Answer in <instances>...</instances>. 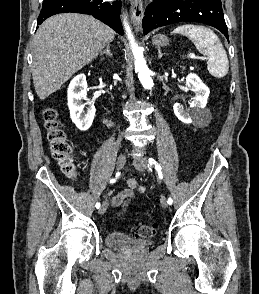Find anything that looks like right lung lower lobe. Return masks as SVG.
Returning a JSON list of instances; mask_svg holds the SVG:
<instances>
[{
    "label": "right lung lower lobe",
    "mask_w": 259,
    "mask_h": 294,
    "mask_svg": "<svg viewBox=\"0 0 259 294\" xmlns=\"http://www.w3.org/2000/svg\"><path fill=\"white\" fill-rule=\"evenodd\" d=\"M121 2H106L104 0H44L37 24L48 17L65 12L89 14L104 22L117 33L123 35L120 22Z\"/></svg>",
    "instance_id": "obj_1"
}]
</instances>
